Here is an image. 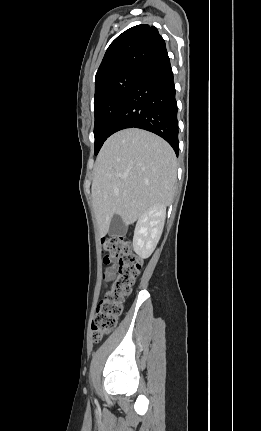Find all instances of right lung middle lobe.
Instances as JSON below:
<instances>
[{"mask_svg": "<svg viewBox=\"0 0 261 431\" xmlns=\"http://www.w3.org/2000/svg\"><path fill=\"white\" fill-rule=\"evenodd\" d=\"M139 72L132 70L121 73L95 88V155L111 135V125Z\"/></svg>", "mask_w": 261, "mask_h": 431, "instance_id": "obj_1", "label": "right lung middle lobe"}]
</instances>
